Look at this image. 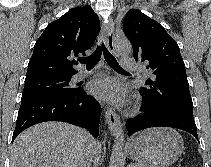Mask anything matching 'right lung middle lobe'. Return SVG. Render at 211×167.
I'll return each instance as SVG.
<instances>
[{
	"instance_id": "right-lung-middle-lobe-1",
	"label": "right lung middle lobe",
	"mask_w": 211,
	"mask_h": 167,
	"mask_svg": "<svg viewBox=\"0 0 211 167\" xmlns=\"http://www.w3.org/2000/svg\"><path fill=\"white\" fill-rule=\"evenodd\" d=\"M71 76H49L25 81L22 97L42 94H66L79 88L70 86Z\"/></svg>"
}]
</instances>
